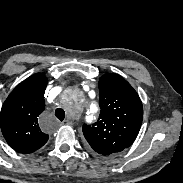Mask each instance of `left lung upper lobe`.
<instances>
[{
    "instance_id": "5c2ea615",
    "label": "left lung upper lobe",
    "mask_w": 183,
    "mask_h": 183,
    "mask_svg": "<svg viewBox=\"0 0 183 183\" xmlns=\"http://www.w3.org/2000/svg\"><path fill=\"white\" fill-rule=\"evenodd\" d=\"M100 116L83 125V134L97 153L111 155L132 145L143 119V106L134 88L120 75L107 73L99 80Z\"/></svg>"
}]
</instances>
